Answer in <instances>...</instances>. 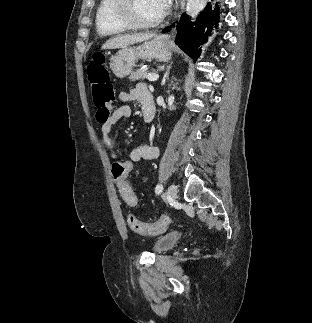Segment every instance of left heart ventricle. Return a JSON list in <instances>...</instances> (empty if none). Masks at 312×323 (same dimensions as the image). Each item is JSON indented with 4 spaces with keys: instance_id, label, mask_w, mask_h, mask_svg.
<instances>
[{
    "instance_id": "obj_1",
    "label": "left heart ventricle",
    "mask_w": 312,
    "mask_h": 323,
    "mask_svg": "<svg viewBox=\"0 0 312 323\" xmlns=\"http://www.w3.org/2000/svg\"><path fill=\"white\" fill-rule=\"evenodd\" d=\"M156 9H162L160 0H131L127 14H133L134 18H143L144 22H151L152 18H158Z\"/></svg>"
}]
</instances>
